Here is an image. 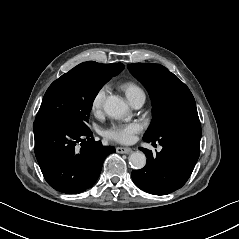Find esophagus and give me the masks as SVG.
<instances>
[{"label": "esophagus", "mask_w": 239, "mask_h": 239, "mask_svg": "<svg viewBox=\"0 0 239 239\" xmlns=\"http://www.w3.org/2000/svg\"><path fill=\"white\" fill-rule=\"evenodd\" d=\"M131 148L130 147H117L116 148V152L120 153V154H128L131 152Z\"/></svg>", "instance_id": "1"}]
</instances>
